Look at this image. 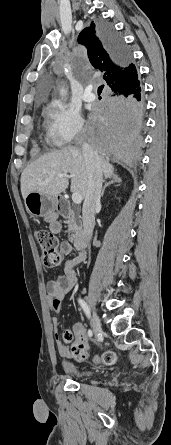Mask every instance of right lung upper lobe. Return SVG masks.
<instances>
[{"mask_svg": "<svg viewBox=\"0 0 171 445\" xmlns=\"http://www.w3.org/2000/svg\"><path fill=\"white\" fill-rule=\"evenodd\" d=\"M78 42L86 46L91 64L103 73V79L111 90L139 79L137 69L131 59L129 64L124 67L110 54L99 27L95 30L93 23L91 27L81 31Z\"/></svg>", "mask_w": 171, "mask_h": 445, "instance_id": "right-lung-upper-lobe-1", "label": "right lung upper lobe"}]
</instances>
